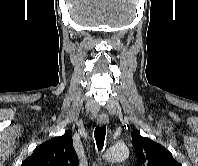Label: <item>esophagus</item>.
<instances>
[{
    "instance_id": "1",
    "label": "esophagus",
    "mask_w": 198,
    "mask_h": 166,
    "mask_svg": "<svg viewBox=\"0 0 198 166\" xmlns=\"http://www.w3.org/2000/svg\"><path fill=\"white\" fill-rule=\"evenodd\" d=\"M97 123L99 126H103L105 124L109 123V117L106 114H101L99 115L98 119H97Z\"/></svg>"
}]
</instances>
